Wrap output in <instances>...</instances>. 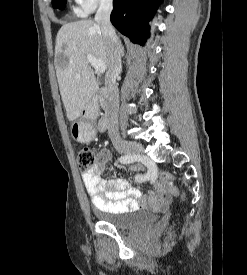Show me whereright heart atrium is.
<instances>
[{
	"instance_id": "d8ad5b80",
	"label": "right heart atrium",
	"mask_w": 247,
	"mask_h": 275,
	"mask_svg": "<svg viewBox=\"0 0 247 275\" xmlns=\"http://www.w3.org/2000/svg\"><path fill=\"white\" fill-rule=\"evenodd\" d=\"M74 13L78 16H86L98 8L110 6L113 0H73Z\"/></svg>"
}]
</instances>
